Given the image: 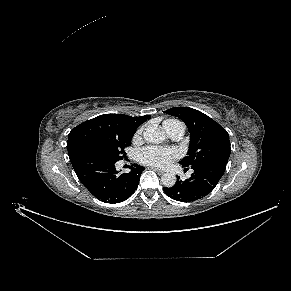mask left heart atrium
I'll list each match as a JSON object with an SVG mask.
<instances>
[{"mask_svg":"<svg viewBox=\"0 0 291 291\" xmlns=\"http://www.w3.org/2000/svg\"><path fill=\"white\" fill-rule=\"evenodd\" d=\"M175 157L174 150L155 146L142 149L138 155L140 162L157 167L169 165Z\"/></svg>","mask_w":291,"mask_h":291,"instance_id":"left-heart-atrium-1","label":"left heart atrium"}]
</instances>
